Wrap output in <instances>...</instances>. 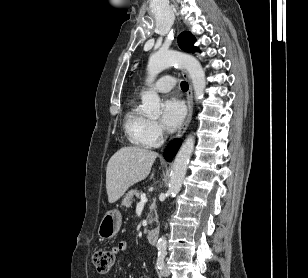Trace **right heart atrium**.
Here are the masks:
<instances>
[{
  "mask_svg": "<svg viewBox=\"0 0 308 278\" xmlns=\"http://www.w3.org/2000/svg\"><path fill=\"white\" fill-rule=\"evenodd\" d=\"M164 138V131L159 123L156 121H149L147 132H146V140L147 144L150 147H155L161 144Z\"/></svg>",
  "mask_w": 308,
  "mask_h": 278,
  "instance_id": "1",
  "label": "right heart atrium"
}]
</instances>
